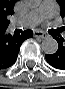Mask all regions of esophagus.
<instances>
[{"instance_id": "1", "label": "esophagus", "mask_w": 65, "mask_h": 89, "mask_svg": "<svg viewBox=\"0 0 65 89\" xmlns=\"http://www.w3.org/2000/svg\"><path fill=\"white\" fill-rule=\"evenodd\" d=\"M33 36L34 37H38V38H46V37H48V35L45 33V32H43V31H38V30H35L34 32H33Z\"/></svg>"}]
</instances>
